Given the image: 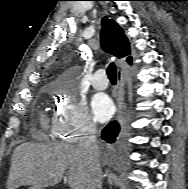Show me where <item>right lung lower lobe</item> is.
Masks as SVG:
<instances>
[{
	"label": "right lung lower lobe",
	"mask_w": 188,
	"mask_h": 189,
	"mask_svg": "<svg viewBox=\"0 0 188 189\" xmlns=\"http://www.w3.org/2000/svg\"><path fill=\"white\" fill-rule=\"evenodd\" d=\"M120 127L118 122L114 121L108 124L102 131V139L108 143H114L119 133Z\"/></svg>",
	"instance_id": "obj_1"
}]
</instances>
